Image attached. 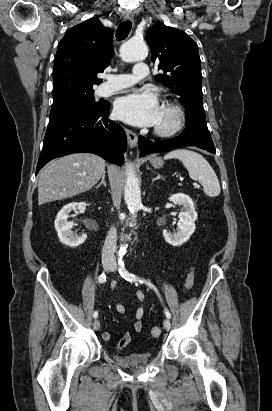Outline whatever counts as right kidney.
Listing matches in <instances>:
<instances>
[{
	"label": "right kidney",
	"mask_w": 272,
	"mask_h": 411,
	"mask_svg": "<svg viewBox=\"0 0 272 411\" xmlns=\"http://www.w3.org/2000/svg\"><path fill=\"white\" fill-rule=\"evenodd\" d=\"M87 204L85 202H72L65 205L57 214L55 220V229L58 233V237L62 244L69 247H77L84 243L87 238L86 234L78 236L71 229L73 222L68 221V215L72 210H80L81 212L86 210Z\"/></svg>",
	"instance_id": "1"
}]
</instances>
